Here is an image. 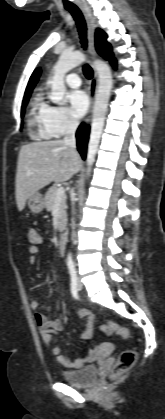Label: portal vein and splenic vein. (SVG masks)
Here are the masks:
<instances>
[{
  "instance_id": "obj_1",
  "label": "portal vein and splenic vein",
  "mask_w": 165,
  "mask_h": 419,
  "mask_svg": "<svg viewBox=\"0 0 165 419\" xmlns=\"http://www.w3.org/2000/svg\"><path fill=\"white\" fill-rule=\"evenodd\" d=\"M65 190L63 187H59L56 191V202H59V200L64 196Z\"/></svg>"
}]
</instances>
